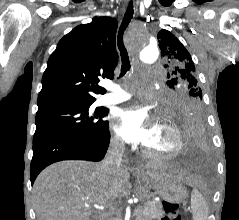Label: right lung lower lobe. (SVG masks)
<instances>
[{"mask_svg": "<svg viewBox=\"0 0 239 220\" xmlns=\"http://www.w3.org/2000/svg\"><path fill=\"white\" fill-rule=\"evenodd\" d=\"M110 140L109 128L102 137L86 138L71 135H44L33 138L31 184L48 165L61 160L100 161L104 158Z\"/></svg>", "mask_w": 239, "mask_h": 220, "instance_id": "1", "label": "right lung lower lobe"}]
</instances>
